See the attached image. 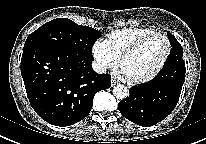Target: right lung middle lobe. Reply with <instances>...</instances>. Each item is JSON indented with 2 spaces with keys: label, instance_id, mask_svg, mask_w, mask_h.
Here are the masks:
<instances>
[{
  "label": "right lung middle lobe",
  "instance_id": "right-lung-middle-lobe-1",
  "mask_svg": "<svg viewBox=\"0 0 206 144\" xmlns=\"http://www.w3.org/2000/svg\"><path fill=\"white\" fill-rule=\"evenodd\" d=\"M100 35L101 32L92 27L78 25L67 18H58L31 33L24 49L33 46L61 47L92 58L91 48Z\"/></svg>",
  "mask_w": 206,
  "mask_h": 144
}]
</instances>
